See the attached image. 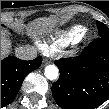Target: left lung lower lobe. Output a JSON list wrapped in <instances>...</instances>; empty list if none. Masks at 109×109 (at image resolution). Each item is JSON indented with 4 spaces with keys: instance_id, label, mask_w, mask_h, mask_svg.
<instances>
[{
    "instance_id": "obj_1",
    "label": "left lung lower lobe",
    "mask_w": 109,
    "mask_h": 109,
    "mask_svg": "<svg viewBox=\"0 0 109 109\" xmlns=\"http://www.w3.org/2000/svg\"><path fill=\"white\" fill-rule=\"evenodd\" d=\"M55 64L60 77L52 94L62 109H94L109 98V38L99 37L78 57Z\"/></svg>"
}]
</instances>
